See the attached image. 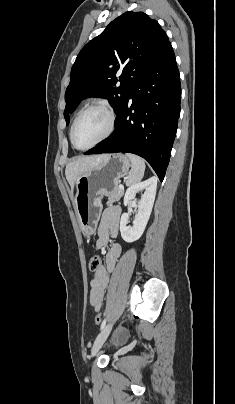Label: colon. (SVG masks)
<instances>
[{"instance_id":"5ec220e1","label":"colon","mask_w":235,"mask_h":404,"mask_svg":"<svg viewBox=\"0 0 235 404\" xmlns=\"http://www.w3.org/2000/svg\"><path fill=\"white\" fill-rule=\"evenodd\" d=\"M89 269L91 271H96L102 266V259L98 255H94L90 258L88 262ZM102 321V316L101 314H96L94 317V322L98 325Z\"/></svg>"}]
</instances>
